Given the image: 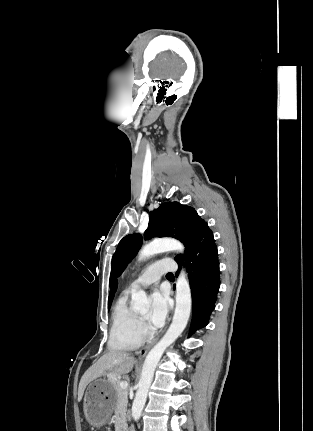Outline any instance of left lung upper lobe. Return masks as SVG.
Segmentation results:
<instances>
[{
  "label": "left lung upper lobe",
  "mask_w": 313,
  "mask_h": 431,
  "mask_svg": "<svg viewBox=\"0 0 313 431\" xmlns=\"http://www.w3.org/2000/svg\"><path fill=\"white\" fill-rule=\"evenodd\" d=\"M207 226L194 208L178 202H168L151 212L144 238L168 236L180 240L185 245V255L178 254L175 260L181 262L190 254ZM141 244L142 236L139 233L129 234L119 242L112 258L110 282L124 271L137 254Z\"/></svg>",
  "instance_id": "obj_1"
}]
</instances>
